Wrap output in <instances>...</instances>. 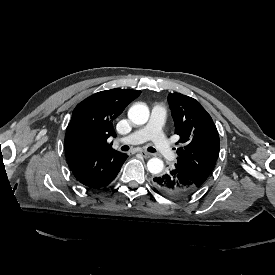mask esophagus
<instances>
[{"label":"esophagus","mask_w":275,"mask_h":275,"mask_svg":"<svg viewBox=\"0 0 275 275\" xmlns=\"http://www.w3.org/2000/svg\"><path fill=\"white\" fill-rule=\"evenodd\" d=\"M140 154L143 156V158L147 159V158H150L151 157V154L144 151V150H141L140 151Z\"/></svg>","instance_id":"34e87169"}]
</instances>
